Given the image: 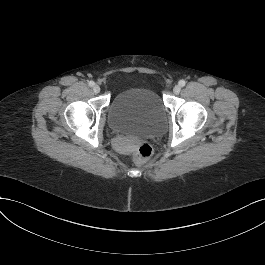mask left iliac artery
<instances>
[{
	"instance_id": "left-iliac-artery-1",
	"label": "left iliac artery",
	"mask_w": 265,
	"mask_h": 265,
	"mask_svg": "<svg viewBox=\"0 0 265 265\" xmlns=\"http://www.w3.org/2000/svg\"><path fill=\"white\" fill-rule=\"evenodd\" d=\"M178 84H179V86L184 87L185 84H186V82H185V80H180V81L178 82Z\"/></svg>"
}]
</instances>
